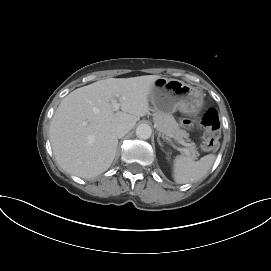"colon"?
Masks as SVG:
<instances>
[{"mask_svg": "<svg viewBox=\"0 0 271 271\" xmlns=\"http://www.w3.org/2000/svg\"><path fill=\"white\" fill-rule=\"evenodd\" d=\"M181 124L185 127H191L193 124L188 119H182ZM200 126L204 129V137L201 148L204 151L214 150L218 146L220 136V122L218 113L215 109L205 111Z\"/></svg>", "mask_w": 271, "mask_h": 271, "instance_id": "obj_1", "label": "colon"}]
</instances>
